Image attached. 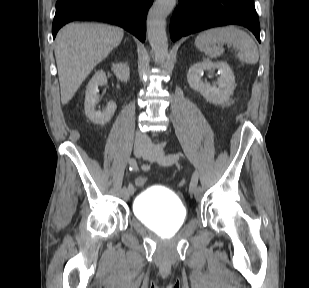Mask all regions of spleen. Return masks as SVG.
<instances>
[{"instance_id":"spleen-1","label":"spleen","mask_w":309,"mask_h":288,"mask_svg":"<svg viewBox=\"0 0 309 288\" xmlns=\"http://www.w3.org/2000/svg\"><path fill=\"white\" fill-rule=\"evenodd\" d=\"M227 43L239 49L240 61L255 65L259 60V51L253 39L243 30L234 26L217 27L201 32L195 39L196 47L210 58L223 54V44Z\"/></svg>"}]
</instances>
